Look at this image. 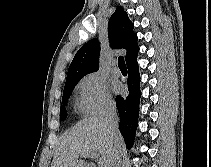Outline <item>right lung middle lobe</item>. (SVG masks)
<instances>
[{
	"mask_svg": "<svg viewBox=\"0 0 211 167\" xmlns=\"http://www.w3.org/2000/svg\"><path fill=\"white\" fill-rule=\"evenodd\" d=\"M78 81H79V79L72 80V81L65 83L63 97H62L63 106H61V108H60V112H61L60 120H64L67 117L65 105L67 104V100H68L72 90L74 89L75 85L78 83Z\"/></svg>",
	"mask_w": 211,
	"mask_h": 167,
	"instance_id": "right-lung-middle-lobe-1",
	"label": "right lung middle lobe"
}]
</instances>
